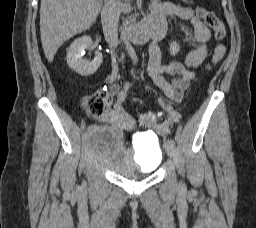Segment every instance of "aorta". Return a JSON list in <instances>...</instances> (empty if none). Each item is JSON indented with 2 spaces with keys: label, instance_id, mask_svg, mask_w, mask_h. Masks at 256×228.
I'll list each match as a JSON object with an SVG mask.
<instances>
[{
  "label": "aorta",
  "instance_id": "1",
  "mask_svg": "<svg viewBox=\"0 0 256 228\" xmlns=\"http://www.w3.org/2000/svg\"><path fill=\"white\" fill-rule=\"evenodd\" d=\"M126 50L129 54V56L131 57V59L133 60V62L136 63L138 61L136 52H135L134 48L132 47V45L128 42H126Z\"/></svg>",
  "mask_w": 256,
  "mask_h": 228
}]
</instances>
